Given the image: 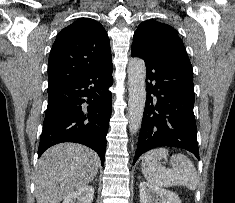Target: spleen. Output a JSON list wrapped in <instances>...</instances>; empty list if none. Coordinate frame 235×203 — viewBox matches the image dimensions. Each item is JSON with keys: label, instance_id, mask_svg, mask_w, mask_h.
<instances>
[{"label": "spleen", "instance_id": "spleen-1", "mask_svg": "<svg viewBox=\"0 0 235 203\" xmlns=\"http://www.w3.org/2000/svg\"><path fill=\"white\" fill-rule=\"evenodd\" d=\"M168 150L156 148L142 156L141 168L145 179L157 187L185 186L195 190L198 175L193 162L184 154H173L170 159L172 169H166L161 159L167 160Z\"/></svg>", "mask_w": 235, "mask_h": 203}]
</instances>
